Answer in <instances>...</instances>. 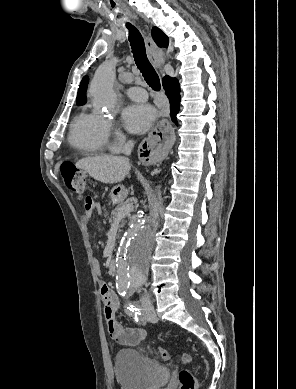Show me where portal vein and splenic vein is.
Listing matches in <instances>:
<instances>
[{
	"instance_id": "obj_1",
	"label": "portal vein and splenic vein",
	"mask_w": 296,
	"mask_h": 389,
	"mask_svg": "<svg viewBox=\"0 0 296 389\" xmlns=\"http://www.w3.org/2000/svg\"><path fill=\"white\" fill-rule=\"evenodd\" d=\"M133 210V205L132 204H126L124 206H122L120 209H119V212H118V217H122L126 214H128L129 212H131Z\"/></svg>"
}]
</instances>
